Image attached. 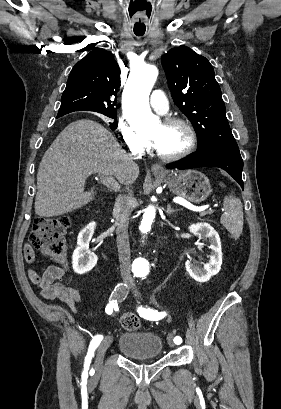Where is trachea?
Returning a JSON list of instances; mask_svg holds the SVG:
<instances>
[{
  "label": "trachea",
  "mask_w": 281,
  "mask_h": 409,
  "mask_svg": "<svg viewBox=\"0 0 281 409\" xmlns=\"http://www.w3.org/2000/svg\"><path fill=\"white\" fill-rule=\"evenodd\" d=\"M135 35H137V37H141L142 35H144V32H142V33H135Z\"/></svg>",
  "instance_id": "1"
}]
</instances>
